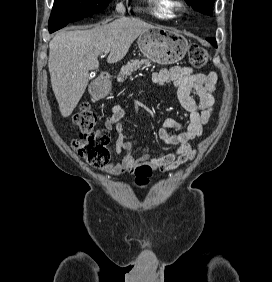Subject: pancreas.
I'll return each instance as SVG.
<instances>
[{"mask_svg": "<svg viewBox=\"0 0 272 282\" xmlns=\"http://www.w3.org/2000/svg\"><path fill=\"white\" fill-rule=\"evenodd\" d=\"M151 66V62L147 59L131 60L126 65L121 67V70L117 76L118 82H123L129 77L134 71L144 69Z\"/></svg>", "mask_w": 272, "mask_h": 282, "instance_id": "pancreas-1", "label": "pancreas"}]
</instances>
